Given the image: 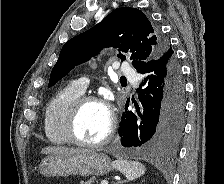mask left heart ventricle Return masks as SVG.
<instances>
[{"label": "left heart ventricle", "mask_w": 224, "mask_h": 184, "mask_svg": "<svg viewBox=\"0 0 224 184\" xmlns=\"http://www.w3.org/2000/svg\"><path fill=\"white\" fill-rule=\"evenodd\" d=\"M109 115L100 104H87L81 111L77 121V135L87 142L101 140L108 131Z\"/></svg>", "instance_id": "obj_1"}]
</instances>
